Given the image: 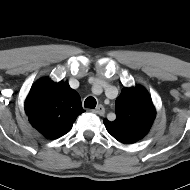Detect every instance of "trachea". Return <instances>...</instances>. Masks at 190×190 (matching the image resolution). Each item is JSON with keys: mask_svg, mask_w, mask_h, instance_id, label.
Instances as JSON below:
<instances>
[{"mask_svg": "<svg viewBox=\"0 0 190 190\" xmlns=\"http://www.w3.org/2000/svg\"><path fill=\"white\" fill-rule=\"evenodd\" d=\"M96 99L92 96L86 98L85 102H84V107L85 108H91L94 109L96 107Z\"/></svg>", "mask_w": 190, "mask_h": 190, "instance_id": "obj_1", "label": "trachea"}]
</instances>
